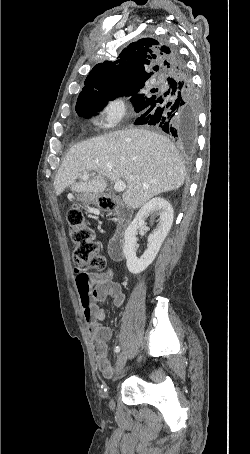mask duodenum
<instances>
[{"label":"duodenum","instance_id":"1","mask_svg":"<svg viewBox=\"0 0 250 454\" xmlns=\"http://www.w3.org/2000/svg\"><path fill=\"white\" fill-rule=\"evenodd\" d=\"M116 217L117 227L110 241V255L113 260L117 261L123 257L124 232L130 219V213L125 208H119Z\"/></svg>","mask_w":250,"mask_h":454}]
</instances>
